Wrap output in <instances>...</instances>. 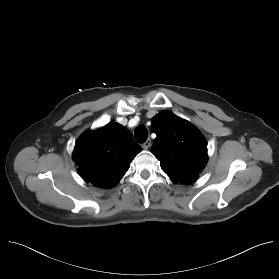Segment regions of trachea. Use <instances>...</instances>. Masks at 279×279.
<instances>
[{
  "mask_svg": "<svg viewBox=\"0 0 279 279\" xmlns=\"http://www.w3.org/2000/svg\"><path fill=\"white\" fill-rule=\"evenodd\" d=\"M135 139L138 143H144L147 140L148 130L144 125L136 127L134 132Z\"/></svg>",
  "mask_w": 279,
  "mask_h": 279,
  "instance_id": "obj_1",
  "label": "trachea"
}]
</instances>
